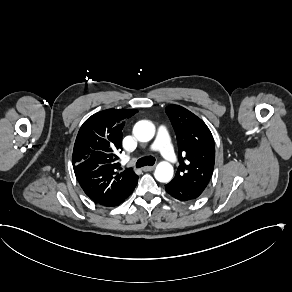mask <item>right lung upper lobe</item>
<instances>
[{
    "instance_id": "right-lung-upper-lobe-1",
    "label": "right lung upper lobe",
    "mask_w": 292,
    "mask_h": 292,
    "mask_svg": "<svg viewBox=\"0 0 292 292\" xmlns=\"http://www.w3.org/2000/svg\"><path fill=\"white\" fill-rule=\"evenodd\" d=\"M137 110L108 109L90 116L81 126L74 144L72 163L76 178L95 203L109 205L125 195L138 181L131 168H120L117 152L122 148L124 119Z\"/></svg>"
}]
</instances>
